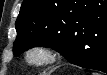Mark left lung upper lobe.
I'll use <instances>...</instances> for the list:
<instances>
[{
  "mask_svg": "<svg viewBox=\"0 0 107 75\" xmlns=\"http://www.w3.org/2000/svg\"><path fill=\"white\" fill-rule=\"evenodd\" d=\"M98 6L90 0H24L15 24L14 55L34 46L52 47L62 55L79 50V25Z\"/></svg>",
  "mask_w": 107,
  "mask_h": 75,
  "instance_id": "5c2ea615",
  "label": "left lung upper lobe"
}]
</instances>
